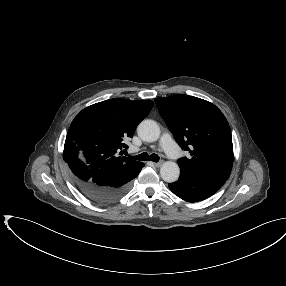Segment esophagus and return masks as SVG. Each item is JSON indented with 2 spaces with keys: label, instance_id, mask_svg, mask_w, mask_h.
Listing matches in <instances>:
<instances>
[{
  "label": "esophagus",
  "instance_id": "obj_1",
  "mask_svg": "<svg viewBox=\"0 0 286 286\" xmlns=\"http://www.w3.org/2000/svg\"><path fill=\"white\" fill-rule=\"evenodd\" d=\"M153 165L155 167H160L162 165V162L161 161L160 162H154Z\"/></svg>",
  "mask_w": 286,
  "mask_h": 286
}]
</instances>
